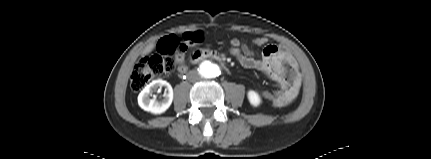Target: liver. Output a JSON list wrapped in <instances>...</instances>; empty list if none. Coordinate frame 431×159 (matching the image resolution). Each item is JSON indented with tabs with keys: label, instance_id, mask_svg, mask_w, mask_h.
<instances>
[{
	"label": "liver",
	"instance_id": "1",
	"mask_svg": "<svg viewBox=\"0 0 431 159\" xmlns=\"http://www.w3.org/2000/svg\"><path fill=\"white\" fill-rule=\"evenodd\" d=\"M154 47H155L154 43H151V44L147 45L144 48L143 52H142V56L147 55L148 53H150L154 49Z\"/></svg>",
	"mask_w": 431,
	"mask_h": 159
}]
</instances>
